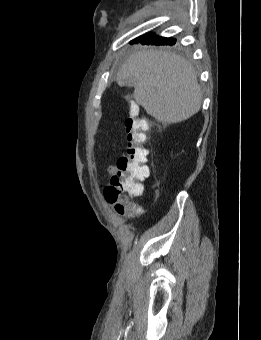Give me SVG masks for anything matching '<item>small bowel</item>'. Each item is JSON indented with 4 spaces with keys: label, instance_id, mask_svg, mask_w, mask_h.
Wrapping results in <instances>:
<instances>
[{
    "label": "small bowel",
    "instance_id": "obj_1",
    "mask_svg": "<svg viewBox=\"0 0 261 340\" xmlns=\"http://www.w3.org/2000/svg\"><path fill=\"white\" fill-rule=\"evenodd\" d=\"M116 170H117L116 164L109 165L108 168H107V176H109V177L113 176L115 174Z\"/></svg>",
    "mask_w": 261,
    "mask_h": 340
}]
</instances>
